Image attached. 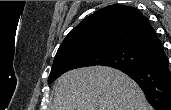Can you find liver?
Instances as JSON below:
<instances>
[{
	"mask_svg": "<svg viewBox=\"0 0 171 110\" xmlns=\"http://www.w3.org/2000/svg\"><path fill=\"white\" fill-rule=\"evenodd\" d=\"M54 88L52 110H153L136 82L106 66L70 70Z\"/></svg>",
	"mask_w": 171,
	"mask_h": 110,
	"instance_id": "liver-1",
	"label": "liver"
}]
</instances>
